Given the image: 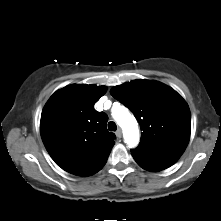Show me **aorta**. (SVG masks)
Masks as SVG:
<instances>
[{"label": "aorta", "mask_w": 221, "mask_h": 221, "mask_svg": "<svg viewBox=\"0 0 221 221\" xmlns=\"http://www.w3.org/2000/svg\"><path fill=\"white\" fill-rule=\"evenodd\" d=\"M112 115L123 130L125 142L129 148H134L139 143V129L136 119L124 106H118Z\"/></svg>", "instance_id": "obj_1"}]
</instances>
